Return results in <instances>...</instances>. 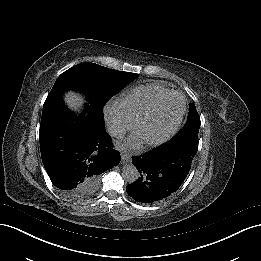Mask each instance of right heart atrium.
<instances>
[{
	"label": "right heart atrium",
	"instance_id": "obj_1",
	"mask_svg": "<svg viewBox=\"0 0 261 261\" xmlns=\"http://www.w3.org/2000/svg\"><path fill=\"white\" fill-rule=\"evenodd\" d=\"M103 115L109 130L115 136H122L128 131V119L116 107V101L114 103L109 102L104 107Z\"/></svg>",
	"mask_w": 261,
	"mask_h": 261
}]
</instances>
